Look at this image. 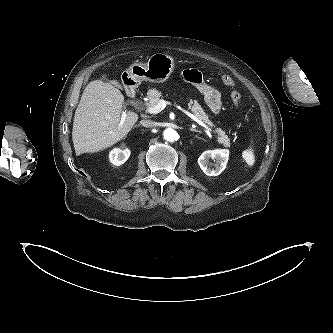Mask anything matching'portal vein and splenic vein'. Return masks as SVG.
<instances>
[{
  "mask_svg": "<svg viewBox=\"0 0 333 333\" xmlns=\"http://www.w3.org/2000/svg\"><path fill=\"white\" fill-rule=\"evenodd\" d=\"M166 105H173L174 107H176L177 109H179L180 111H182L184 114H186L188 117H190L192 120H194L195 122H197L199 125H201L203 128H205L209 133H213L212 129L209 128L203 121H201L197 116H195L194 114L190 113L188 110L182 108L181 106L179 105H176V104H172L171 102L169 101H165L163 99H160L158 104L154 107H148L147 108V111L151 114H157L159 112H161L165 107ZM125 117L126 115L124 114L122 116V119H121V122L119 124V126L121 127L124 120H125Z\"/></svg>",
  "mask_w": 333,
  "mask_h": 333,
  "instance_id": "obj_1",
  "label": "portal vein and splenic vein"
}]
</instances>
